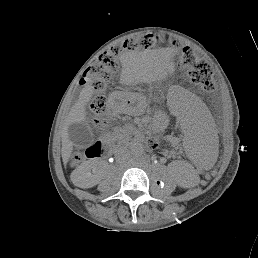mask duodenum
<instances>
[{
    "label": "duodenum",
    "instance_id": "duodenum-1",
    "mask_svg": "<svg viewBox=\"0 0 258 258\" xmlns=\"http://www.w3.org/2000/svg\"><path fill=\"white\" fill-rule=\"evenodd\" d=\"M86 155L91 158L99 157L100 155V146L98 147H91L87 150Z\"/></svg>",
    "mask_w": 258,
    "mask_h": 258
}]
</instances>
